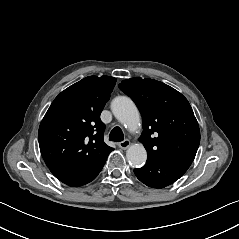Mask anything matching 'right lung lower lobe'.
<instances>
[{
  "label": "right lung lower lobe",
  "instance_id": "right-lung-lower-lobe-1",
  "mask_svg": "<svg viewBox=\"0 0 239 239\" xmlns=\"http://www.w3.org/2000/svg\"><path fill=\"white\" fill-rule=\"evenodd\" d=\"M108 155L99 160L96 164L87 168L71 169V168H52L50 171L53 175L64 184L71 187H79L85 185L96 178L102 170Z\"/></svg>",
  "mask_w": 239,
  "mask_h": 239
}]
</instances>
